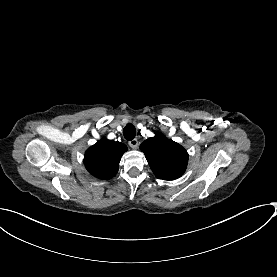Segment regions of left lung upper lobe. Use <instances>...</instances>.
<instances>
[{
	"label": "left lung upper lobe",
	"instance_id": "1",
	"mask_svg": "<svg viewBox=\"0 0 277 277\" xmlns=\"http://www.w3.org/2000/svg\"><path fill=\"white\" fill-rule=\"evenodd\" d=\"M140 149L159 179L175 180L181 177L187 168V151L161 133H156L155 137L145 140Z\"/></svg>",
	"mask_w": 277,
	"mask_h": 277
}]
</instances>
